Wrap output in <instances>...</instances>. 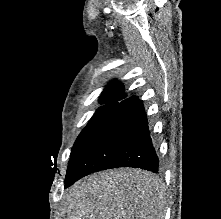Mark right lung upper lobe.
Here are the masks:
<instances>
[{"label":"right lung upper lobe","mask_w":221,"mask_h":219,"mask_svg":"<svg viewBox=\"0 0 221 219\" xmlns=\"http://www.w3.org/2000/svg\"><path fill=\"white\" fill-rule=\"evenodd\" d=\"M126 98L123 93V86L119 82H114L107 86L100 96V102H116Z\"/></svg>","instance_id":"1"}]
</instances>
